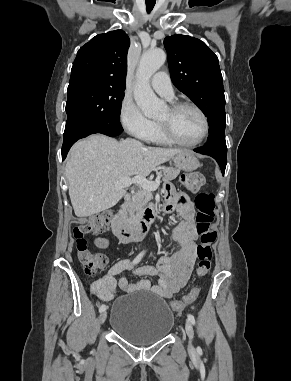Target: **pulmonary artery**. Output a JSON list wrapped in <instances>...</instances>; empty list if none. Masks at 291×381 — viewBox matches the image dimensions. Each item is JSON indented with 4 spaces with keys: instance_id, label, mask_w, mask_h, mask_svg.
I'll list each match as a JSON object with an SVG mask.
<instances>
[{
    "instance_id": "1",
    "label": "pulmonary artery",
    "mask_w": 291,
    "mask_h": 381,
    "mask_svg": "<svg viewBox=\"0 0 291 381\" xmlns=\"http://www.w3.org/2000/svg\"><path fill=\"white\" fill-rule=\"evenodd\" d=\"M154 90L161 96L171 100L174 95L173 86L168 73L164 71L157 72L151 79Z\"/></svg>"
}]
</instances>
